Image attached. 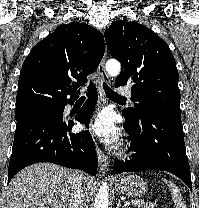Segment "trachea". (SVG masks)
<instances>
[{
    "instance_id": "3493384b",
    "label": "trachea",
    "mask_w": 199,
    "mask_h": 208,
    "mask_svg": "<svg viewBox=\"0 0 199 208\" xmlns=\"http://www.w3.org/2000/svg\"><path fill=\"white\" fill-rule=\"evenodd\" d=\"M103 88L105 90L106 95L114 101H126V98L119 96L115 93L110 87L103 82ZM80 99H85V96L80 97Z\"/></svg>"
}]
</instances>
